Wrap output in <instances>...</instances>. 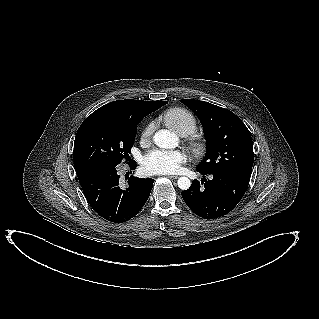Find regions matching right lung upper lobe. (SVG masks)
Listing matches in <instances>:
<instances>
[{
    "instance_id": "obj_1",
    "label": "right lung upper lobe",
    "mask_w": 319,
    "mask_h": 319,
    "mask_svg": "<svg viewBox=\"0 0 319 319\" xmlns=\"http://www.w3.org/2000/svg\"><path fill=\"white\" fill-rule=\"evenodd\" d=\"M166 104V101L117 100L100 107L87 118L102 115H116L138 124L144 116Z\"/></svg>"
}]
</instances>
